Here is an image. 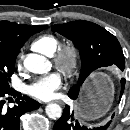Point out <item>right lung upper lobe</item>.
Returning a JSON list of instances; mask_svg holds the SVG:
<instances>
[{
    "label": "right lung upper lobe",
    "mask_w": 130,
    "mask_h": 130,
    "mask_svg": "<svg viewBox=\"0 0 130 130\" xmlns=\"http://www.w3.org/2000/svg\"><path fill=\"white\" fill-rule=\"evenodd\" d=\"M43 26H29L26 24H17L9 21H0V43L20 50L23 43L30 37V34Z\"/></svg>",
    "instance_id": "right-lung-upper-lobe-1"
}]
</instances>
